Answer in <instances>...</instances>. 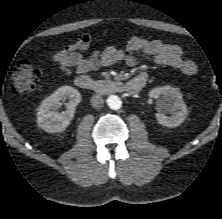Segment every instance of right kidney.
<instances>
[{"label": "right kidney", "instance_id": "right-kidney-1", "mask_svg": "<svg viewBox=\"0 0 222 219\" xmlns=\"http://www.w3.org/2000/svg\"><path fill=\"white\" fill-rule=\"evenodd\" d=\"M69 99L66 110L58 112L60 102ZM81 102V94L71 86H62L43 100L38 108V126L49 133L65 130L75 114L76 106Z\"/></svg>", "mask_w": 222, "mask_h": 219}]
</instances>
